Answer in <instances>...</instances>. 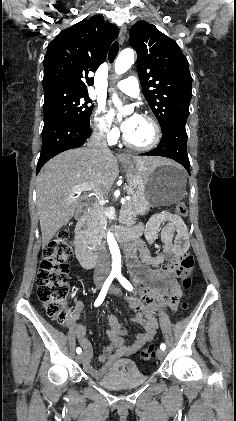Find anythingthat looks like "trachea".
<instances>
[{"mask_svg":"<svg viewBox=\"0 0 236 421\" xmlns=\"http://www.w3.org/2000/svg\"><path fill=\"white\" fill-rule=\"evenodd\" d=\"M118 52H119V42L116 41L112 44V46L110 48V51H109V54H108V59H109L110 63L114 62Z\"/></svg>","mask_w":236,"mask_h":421,"instance_id":"trachea-1","label":"trachea"}]
</instances>
